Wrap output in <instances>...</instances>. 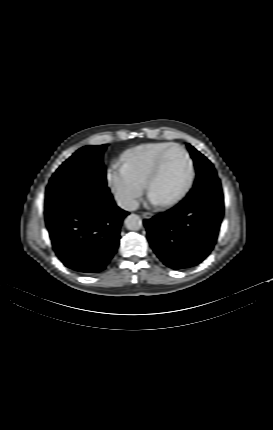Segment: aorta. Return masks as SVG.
<instances>
[{
	"instance_id": "1",
	"label": "aorta",
	"mask_w": 273,
	"mask_h": 430,
	"mask_svg": "<svg viewBox=\"0 0 273 430\" xmlns=\"http://www.w3.org/2000/svg\"><path fill=\"white\" fill-rule=\"evenodd\" d=\"M124 223L128 230L137 231L142 228V220L136 214L127 216Z\"/></svg>"
}]
</instances>
